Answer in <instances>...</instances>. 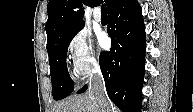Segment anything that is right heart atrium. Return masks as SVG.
<instances>
[{"label": "right heart atrium", "mask_w": 193, "mask_h": 112, "mask_svg": "<svg viewBox=\"0 0 193 112\" xmlns=\"http://www.w3.org/2000/svg\"><path fill=\"white\" fill-rule=\"evenodd\" d=\"M67 53L71 68L78 77H86L99 67L91 36L83 29L69 38Z\"/></svg>", "instance_id": "d8ad5b80"}]
</instances>
